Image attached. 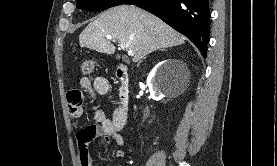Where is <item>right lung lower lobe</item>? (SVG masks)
Returning <instances> with one entry per match:
<instances>
[{
  "mask_svg": "<svg viewBox=\"0 0 277 166\" xmlns=\"http://www.w3.org/2000/svg\"><path fill=\"white\" fill-rule=\"evenodd\" d=\"M154 14L189 38L207 56L210 31L209 0H124Z\"/></svg>",
  "mask_w": 277,
  "mask_h": 166,
  "instance_id": "1",
  "label": "right lung lower lobe"
}]
</instances>
